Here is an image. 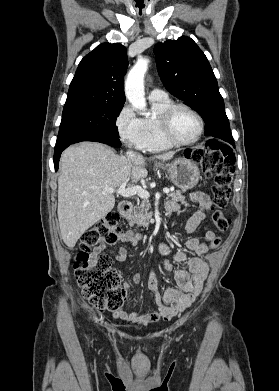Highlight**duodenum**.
<instances>
[{
    "label": "duodenum",
    "instance_id": "obj_1",
    "mask_svg": "<svg viewBox=\"0 0 279 391\" xmlns=\"http://www.w3.org/2000/svg\"><path fill=\"white\" fill-rule=\"evenodd\" d=\"M119 213L123 218H128L132 211V203L129 201H121L119 203Z\"/></svg>",
    "mask_w": 279,
    "mask_h": 391
}]
</instances>
